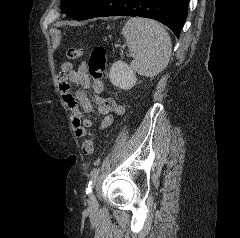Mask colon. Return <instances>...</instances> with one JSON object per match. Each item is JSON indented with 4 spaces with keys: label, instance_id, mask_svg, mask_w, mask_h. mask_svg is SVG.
Listing matches in <instances>:
<instances>
[{
    "label": "colon",
    "instance_id": "1",
    "mask_svg": "<svg viewBox=\"0 0 240 238\" xmlns=\"http://www.w3.org/2000/svg\"><path fill=\"white\" fill-rule=\"evenodd\" d=\"M84 50L81 48H70L67 51V57L69 59H76L82 56ZM107 58L106 51L102 46L95 47L89 57L88 68L89 73L95 81H102L106 69ZM83 153L91 155L94 151V139L93 135L89 134L82 144Z\"/></svg>",
    "mask_w": 240,
    "mask_h": 238
}]
</instances>
